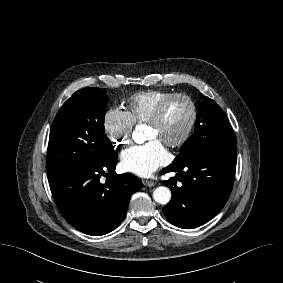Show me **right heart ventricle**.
I'll list each match as a JSON object with an SVG mask.
<instances>
[{"label":"right heart ventricle","mask_w":283,"mask_h":283,"mask_svg":"<svg viewBox=\"0 0 283 283\" xmlns=\"http://www.w3.org/2000/svg\"><path fill=\"white\" fill-rule=\"evenodd\" d=\"M170 94L162 90H144L132 94L125 104L133 124L146 123L157 105Z\"/></svg>","instance_id":"obj_1"}]
</instances>
